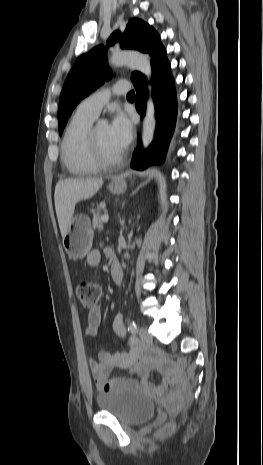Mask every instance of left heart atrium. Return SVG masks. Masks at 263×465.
Instances as JSON below:
<instances>
[{
    "label": "left heart atrium",
    "instance_id": "left-heart-atrium-1",
    "mask_svg": "<svg viewBox=\"0 0 263 465\" xmlns=\"http://www.w3.org/2000/svg\"><path fill=\"white\" fill-rule=\"evenodd\" d=\"M109 132L113 142L123 151L132 139V123L123 112L116 111L109 125Z\"/></svg>",
    "mask_w": 263,
    "mask_h": 465
}]
</instances>
